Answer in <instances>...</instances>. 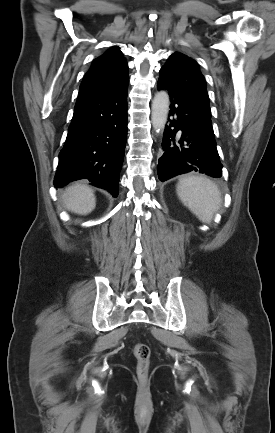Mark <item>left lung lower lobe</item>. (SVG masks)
Masks as SVG:
<instances>
[{
	"label": "left lung lower lobe",
	"mask_w": 275,
	"mask_h": 433,
	"mask_svg": "<svg viewBox=\"0 0 275 433\" xmlns=\"http://www.w3.org/2000/svg\"><path fill=\"white\" fill-rule=\"evenodd\" d=\"M157 88L169 91L173 116L164 130L163 154L157 165L159 180L163 182L190 171L220 178L222 164L212 124L192 101L165 80L159 79Z\"/></svg>",
	"instance_id": "0a47b994"
}]
</instances>
